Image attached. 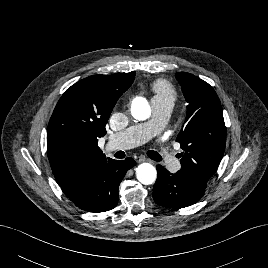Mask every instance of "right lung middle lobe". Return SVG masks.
<instances>
[{"label":"right lung middle lobe","mask_w":268,"mask_h":268,"mask_svg":"<svg viewBox=\"0 0 268 268\" xmlns=\"http://www.w3.org/2000/svg\"><path fill=\"white\" fill-rule=\"evenodd\" d=\"M61 150L63 152H70V149L68 147H62Z\"/></svg>","instance_id":"dd1d6c3e"}]
</instances>
